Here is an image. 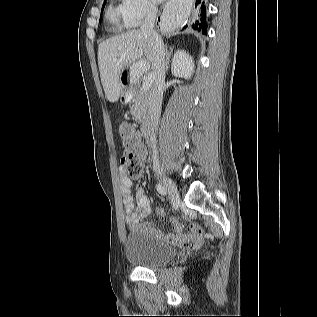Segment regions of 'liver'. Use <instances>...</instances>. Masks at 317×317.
I'll list each match as a JSON object with an SVG mask.
<instances>
[{"label":"liver","mask_w":317,"mask_h":317,"mask_svg":"<svg viewBox=\"0 0 317 317\" xmlns=\"http://www.w3.org/2000/svg\"><path fill=\"white\" fill-rule=\"evenodd\" d=\"M145 56L144 61L142 57ZM153 46L148 37L140 30H130L103 41L98 46V65L102 86L109 102L118 101L123 86L120 82L122 71L136 65L138 78L140 73L153 68ZM139 63H144L143 70L139 69Z\"/></svg>","instance_id":"1"}]
</instances>
